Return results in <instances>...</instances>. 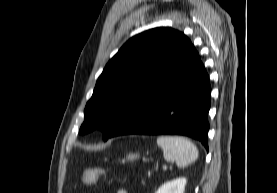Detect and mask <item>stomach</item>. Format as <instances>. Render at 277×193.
<instances>
[{"mask_svg": "<svg viewBox=\"0 0 277 193\" xmlns=\"http://www.w3.org/2000/svg\"><path fill=\"white\" fill-rule=\"evenodd\" d=\"M138 157H139L138 154L130 153V154L127 156V160H128V161H133V160L137 159Z\"/></svg>", "mask_w": 277, "mask_h": 193, "instance_id": "stomach-1", "label": "stomach"}]
</instances>
